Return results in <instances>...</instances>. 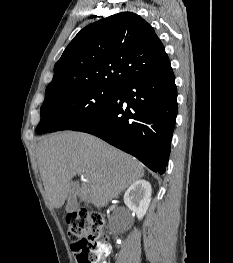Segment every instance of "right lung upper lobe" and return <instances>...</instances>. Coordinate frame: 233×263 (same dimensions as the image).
<instances>
[{"label": "right lung upper lobe", "mask_w": 233, "mask_h": 263, "mask_svg": "<svg viewBox=\"0 0 233 263\" xmlns=\"http://www.w3.org/2000/svg\"><path fill=\"white\" fill-rule=\"evenodd\" d=\"M171 67L153 27L132 12H121L83 28L54 67L45 98L87 86L117 88Z\"/></svg>", "instance_id": "right-lung-upper-lobe-1"}]
</instances>
